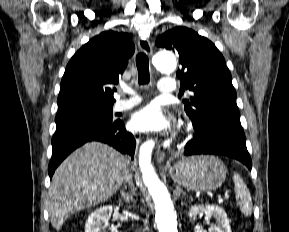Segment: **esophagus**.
Segmentation results:
<instances>
[{"mask_svg": "<svg viewBox=\"0 0 289 232\" xmlns=\"http://www.w3.org/2000/svg\"><path fill=\"white\" fill-rule=\"evenodd\" d=\"M138 46L142 52L146 53L148 56H152V52H153L152 46L148 39L140 38L138 40ZM164 158H165V153L161 149L158 148L156 151V160L158 162H162Z\"/></svg>", "mask_w": 289, "mask_h": 232, "instance_id": "obj_1", "label": "esophagus"}]
</instances>
